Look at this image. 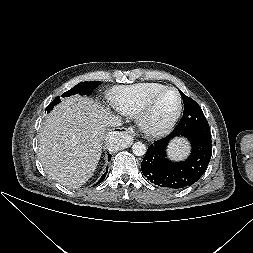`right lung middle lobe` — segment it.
I'll use <instances>...</instances> for the list:
<instances>
[{"label": "right lung middle lobe", "mask_w": 253, "mask_h": 253, "mask_svg": "<svg viewBox=\"0 0 253 253\" xmlns=\"http://www.w3.org/2000/svg\"><path fill=\"white\" fill-rule=\"evenodd\" d=\"M101 82H81L68 90L67 92L62 94V97H68L74 94L80 95H88L90 94L96 87H98ZM60 97H56L51 104L46 107L47 113L60 102Z\"/></svg>", "instance_id": "right-lung-middle-lobe-1"}]
</instances>
